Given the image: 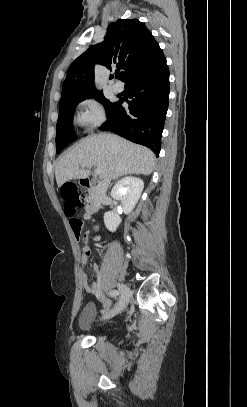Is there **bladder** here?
<instances>
[{"mask_svg":"<svg viewBox=\"0 0 247 407\" xmlns=\"http://www.w3.org/2000/svg\"><path fill=\"white\" fill-rule=\"evenodd\" d=\"M97 317V308L94 304H87L80 314V329L83 332H90L94 328V321Z\"/></svg>","mask_w":247,"mask_h":407,"instance_id":"1","label":"bladder"}]
</instances>
